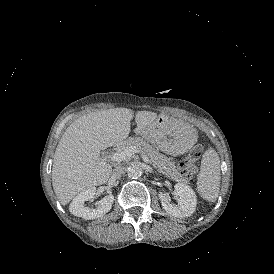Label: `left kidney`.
I'll list each match as a JSON object with an SVG mask.
<instances>
[{"label": "left kidney", "instance_id": "left-kidney-1", "mask_svg": "<svg viewBox=\"0 0 274 274\" xmlns=\"http://www.w3.org/2000/svg\"><path fill=\"white\" fill-rule=\"evenodd\" d=\"M174 188V193L178 204H172L168 194L160 193L159 198L163 209L170 215L177 218L191 216L197 205L195 192L185 183H177Z\"/></svg>", "mask_w": 274, "mask_h": 274}]
</instances>
